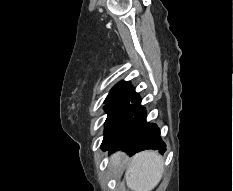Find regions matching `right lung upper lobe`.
Returning a JSON list of instances; mask_svg holds the SVG:
<instances>
[{
	"label": "right lung upper lobe",
	"mask_w": 233,
	"mask_h": 191,
	"mask_svg": "<svg viewBox=\"0 0 233 191\" xmlns=\"http://www.w3.org/2000/svg\"><path fill=\"white\" fill-rule=\"evenodd\" d=\"M131 89L132 85L129 82L122 81L111 89L106 100L126 97V95L131 91Z\"/></svg>",
	"instance_id": "obj_1"
}]
</instances>
